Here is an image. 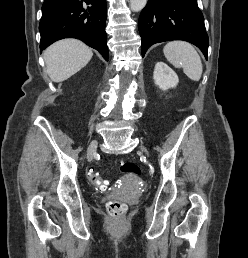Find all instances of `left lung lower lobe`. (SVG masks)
<instances>
[{"instance_id": "0a47b994", "label": "left lung lower lobe", "mask_w": 248, "mask_h": 258, "mask_svg": "<svg viewBox=\"0 0 248 258\" xmlns=\"http://www.w3.org/2000/svg\"><path fill=\"white\" fill-rule=\"evenodd\" d=\"M141 51L159 42L188 41L203 52L207 59L208 35L197 0H148L139 17Z\"/></svg>"}]
</instances>
